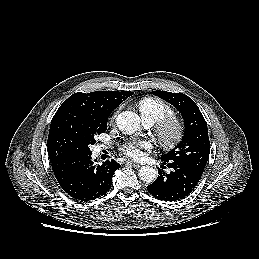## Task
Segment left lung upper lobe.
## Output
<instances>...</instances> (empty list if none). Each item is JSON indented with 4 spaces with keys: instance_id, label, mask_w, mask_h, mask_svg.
<instances>
[{
    "instance_id": "left-lung-upper-lobe-1",
    "label": "left lung upper lobe",
    "mask_w": 259,
    "mask_h": 259,
    "mask_svg": "<svg viewBox=\"0 0 259 259\" xmlns=\"http://www.w3.org/2000/svg\"><path fill=\"white\" fill-rule=\"evenodd\" d=\"M151 94L172 104L180 111L185 122L182 141L167 154L162 155V161L186 164L202 175L210 153V142L207 123L198 106L183 93L153 91Z\"/></svg>"
}]
</instances>
